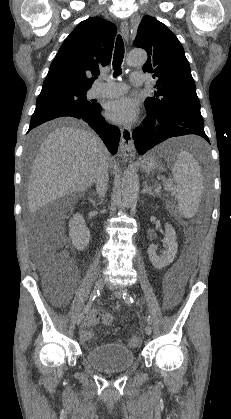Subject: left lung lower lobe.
I'll list each match as a JSON object with an SVG mask.
<instances>
[{"instance_id":"left-lung-lower-lobe-1","label":"left lung lower lobe","mask_w":231,"mask_h":419,"mask_svg":"<svg viewBox=\"0 0 231 419\" xmlns=\"http://www.w3.org/2000/svg\"><path fill=\"white\" fill-rule=\"evenodd\" d=\"M146 110L148 113L144 120L146 126L133 132L134 143L139 154H144L170 137L194 134L209 142L204 131L200 106H182L159 111L146 108Z\"/></svg>"}]
</instances>
